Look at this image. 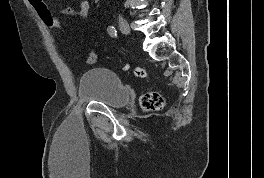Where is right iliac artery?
I'll return each instance as SVG.
<instances>
[{
	"label": "right iliac artery",
	"mask_w": 264,
	"mask_h": 178,
	"mask_svg": "<svg viewBox=\"0 0 264 178\" xmlns=\"http://www.w3.org/2000/svg\"><path fill=\"white\" fill-rule=\"evenodd\" d=\"M107 31H108V34L113 37V38H116L117 37V30L115 29V27L113 26H109L107 28Z\"/></svg>",
	"instance_id": "1"
}]
</instances>
